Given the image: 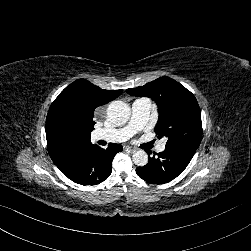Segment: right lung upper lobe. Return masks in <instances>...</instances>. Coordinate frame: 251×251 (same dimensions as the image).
Returning <instances> with one entry per match:
<instances>
[{
  "label": "right lung upper lobe",
  "mask_w": 251,
  "mask_h": 251,
  "mask_svg": "<svg viewBox=\"0 0 251 251\" xmlns=\"http://www.w3.org/2000/svg\"><path fill=\"white\" fill-rule=\"evenodd\" d=\"M123 90H104L86 79L68 85L51 104L46 118L48 153L58 165L62 159L93 144L94 110L114 100Z\"/></svg>",
  "instance_id": "obj_1"
}]
</instances>
